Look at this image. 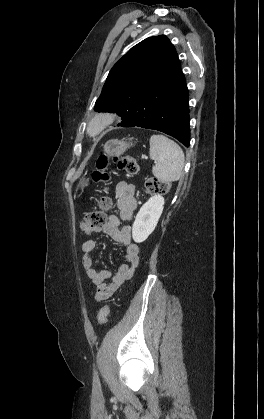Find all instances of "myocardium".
I'll return each instance as SVG.
<instances>
[{"label": "myocardium", "instance_id": "obj_1", "mask_svg": "<svg viewBox=\"0 0 264 419\" xmlns=\"http://www.w3.org/2000/svg\"><path fill=\"white\" fill-rule=\"evenodd\" d=\"M118 116L114 112H100L95 114L87 124V134L92 137H98L111 124L117 120Z\"/></svg>", "mask_w": 264, "mask_h": 419}]
</instances>
